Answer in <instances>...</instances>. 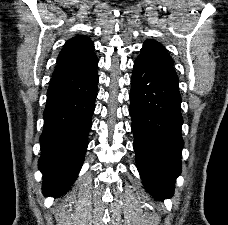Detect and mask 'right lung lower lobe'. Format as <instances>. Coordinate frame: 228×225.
I'll return each mask as SVG.
<instances>
[{
  "label": "right lung lower lobe",
  "mask_w": 228,
  "mask_h": 225,
  "mask_svg": "<svg viewBox=\"0 0 228 225\" xmlns=\"http://www.w3.org/2000/svg\"><path fill=\"white\" fill-rule=\"evenodd\" d=\"M97 65L93 54L54 70L43 113L38 164L46 196L66 193L83 164L97 96Z\"/></svg>",
  "instance_id": "obj_1"
}]
</instances>
